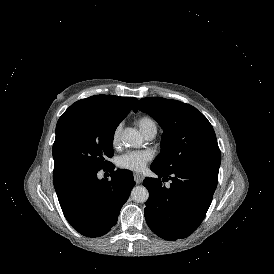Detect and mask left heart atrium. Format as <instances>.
I'll return each mask as SVG.
<instances>
[{
	"label": "left heart atrium",
	"instance_id": "1",
	"mask_svg": "<svg viewBox=\"0 0 274 274\" xmlns=\"http://www.w3.org/2000/svg\"><path fill=\"white\" fill-rule=\"evenodd\" d=\"M150 160V155L146 151L130 152L120 156L117 165L122 169L139 171L145 167Z\"/></svg>",
	"mask_w": 274,
	"mask_h": 274
}]
</instances>
